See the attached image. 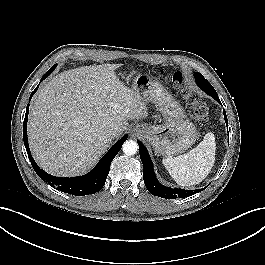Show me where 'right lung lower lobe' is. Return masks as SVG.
I'll use <instances>...</instances> for the list:
<instances>
[{
    "label": "right lung lower lobe",
    "instance_id": "obj_1",
    "mask_svg": "<svg viewBox=\"0 0 265 265\" xmlns=\"http://www.w3.org/2000/svg\"><path fill=\"white\" fill-rule=\"evenodd\" d=\"M56 65H54L43 77L41 80H44L47 76L51 74ZM38 86L31 93L30 99L37 91ZM29 113V104L26 108L25 119L23 123V140L26 147V151L29 157V160L32 164L33 169L37 173V175L42 178L44 181L49 182L52 186L56 187L58 190L76 195V196H84L88 194H94L102 189L105 184L106 178L108 176L110 170V164L114 157L118 154L121 149L123 143L127 139V135L122 137L116 144H114L110 150L101 158L98 164L92 169L89 173L83 176L78 177H70V178H60L52 176L42 169L38 167L33 157L31 156V152L29 149L28 138H27V120Z\"/></svg>",
    "mask_w": 265,
    "mask_h": 265
}]
</instances>
